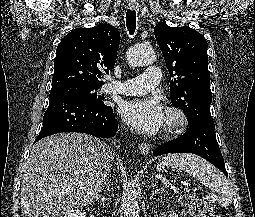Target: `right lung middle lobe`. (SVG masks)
Masks as SVG:
<instances>
[{
	"instance_id": "obj_1",
	"label": "right lung middle lobe",
	"mask_w": 255,
	"mask_h": 217,
	"mask_svg": "<svg viewBox=\"0 0 255 217\" xmlns=\"http://www.w3.org/2000/svg\"><path fill=\"white\" fill-rule=\"evenodd\" d=\"M100 87H90L79 84H64L52 87L50 98L64 96L81 100L96 107H108L103 100V96H97L95 90Z\"/></svg>"
}]
</instances>
